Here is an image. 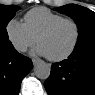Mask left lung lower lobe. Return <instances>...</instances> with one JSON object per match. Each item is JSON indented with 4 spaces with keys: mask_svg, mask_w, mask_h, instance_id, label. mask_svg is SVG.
Here are the masks:
<instances>
[{
    "mask_svg": "<svg viewBox=\"0 0 95 95\" xmlns=\"http://www.w3.org/2000/svg\"><path fill=\"white\" fill-rule=\"evenodd\" d=\"M44 86L49 95H95V41L53 64Z\"/></svg>",
    "mask_w": 95,
    "mask_h": 95,
    "instance_id": "1",
    "label": "left lung lower lobe"
}]
</instances>
